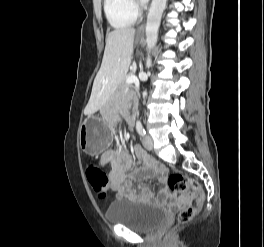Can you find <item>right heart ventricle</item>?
Masks as SVG:
<instances>
[{
    "label": "right heart ventricle",
    "mask_w": 264,
    "mask_h": 247,
    "mask_svg": "<svg viewBox=\"0 0 264 247\" xmlns=\"http://www.w3.org/2000/svg\"><path fill=\"white\" fill-rule=\"evenodd\" d=\"M104 11L109 23L117 29L132 26L138 19L130 0H104Z\"/></svg>",
    "instance_id": "1"
}]
</instances>
